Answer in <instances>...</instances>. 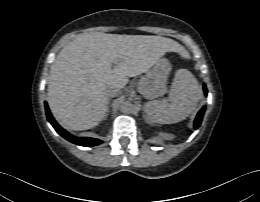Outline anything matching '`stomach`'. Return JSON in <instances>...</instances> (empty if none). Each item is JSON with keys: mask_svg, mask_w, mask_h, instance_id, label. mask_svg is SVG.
I'll return each instance as SVG.
<instances>
[{"mask_svg": "<svg viewBox=\"0 0 260 202\" xmlns=\"http://www.w3.org/2000/svg\"><path fill=\"white\" fill-rule=\"evenodd\" d=\"M171 66L166 59H160L139 81L138 90L147 99L162 96L166 91L167 76Z\"/></svg>", "mask_w": 260, "mask_h": 202, "instance_id": "0dacf381", "label": "stomach"}]
</instances>
